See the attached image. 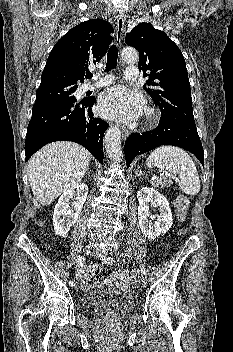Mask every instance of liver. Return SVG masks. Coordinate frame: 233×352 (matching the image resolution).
<instances>
[{"mask_svg":"<svg viewBox=\"0 0 233 352\" xmlns=\"http://www.w3.org/2000/svg\"><path fill=\"white\" fill-rule=\"evenodd\" d=\"M91 154L82 146L67 141L51 143L29 161L28 176L32 192L43 206L82 180Z\"/></svg>","mask_w":233,"mask_h":352,"instance_id":"1","label":"liver"}]
</instances>
